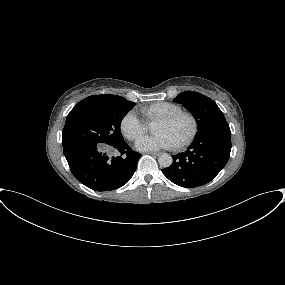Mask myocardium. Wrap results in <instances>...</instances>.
<instances>
[{"label": "myocardium", "mask_w": 285, "mask_h": 285, "mask_svg": "<svg viewBox=\"0 0 285 285\" xmlns=\"http://www.w3.org/2000/svg\"><path fill=\"white\" fill-rule=\"evenodd\" d=\"M180 118H186L190 123V128L183 140L174 145V148L177 150L185 148L194 140L198 132V121L195 115L191 112L181 110L179 112L160 117L156 120L164 123H172Z\"/></svg>", "instance_id": "obj_1"}]
</instances>
